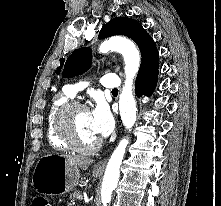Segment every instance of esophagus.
I'll use <instances>...</instances> for the list:
<instances>
[{"label": "esophagus", "instance_id": "esophagus-1", "mask_svg": "<svg viewBox=\"0 0 221 206\" xmlns=\"http://www.w3.org/2000/svg\"><path fill=\"white\" fill-rule=\"evenodd\" d=\"M106 162H107V159H103V160L99 161V162L94 166V169H95V170H103V169L105 168Z\"/></svg>", "mask_w": 221, "mask_h": 206}]
</instances>
